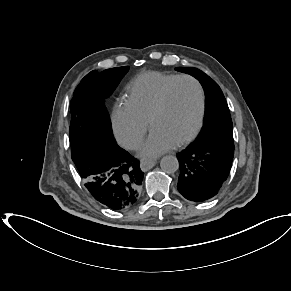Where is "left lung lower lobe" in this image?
Listing matches in <instances>:
<instances>
[{
  "mask_svg": "<svg viewBox=\"0 0 291 291\" xmlns=\"http://www.w3.org/2000/svg\"><path fill=\"white\" fill-rule=\"evenodd\" d=\"M233 156L234 149L190 144L177 155L180 194L193 202H204L216 196L228 178Z\"/></svg>",
  "mask_w": 291,
  "mask_h": 291,
  "instance_id": "0a47b994",
  "label": "left lung lower lobe"
}]
</instances>
